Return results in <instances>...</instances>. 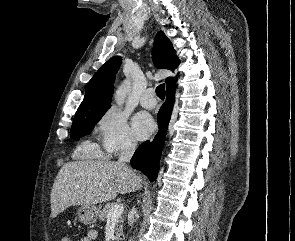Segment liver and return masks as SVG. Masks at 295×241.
Masks as SVG:
<instances>
[{
	"mask_svg": "<svg viewBox=\"0 0 295 241\" xmlns=\"http://www.w3.org/2000/svg\"><path fill=\"white\" fill-rule=\"evenodd\" d=\"M142 179L128 167L105 160L65 163L51 192V216L72 205H95L140 188Z\"/></svg>",
	"mask_w": 295,
	"mask_h": 241,
	"instance_id": "obj_1",
	"label": "liver"
}]
</instances>
